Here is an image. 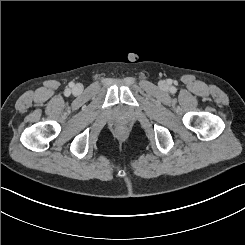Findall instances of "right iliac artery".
I'll return each mask as SVG.
<instances>
[{
  "instance_id": "obj_1",
  "label": "right iliac artery",
  "mask_w": 245,
  "mask_h": 245,
  "mask_svg": "<svg viewBox=\"0 0 245 245\" xmlns=\"http://www.w3.org/2000/svg\"><path fill=\"white\" fill-rule=\"evenodd\" d=\"M66 93L70 94V91H67Z\"/></svg>"
}]
</instances>
